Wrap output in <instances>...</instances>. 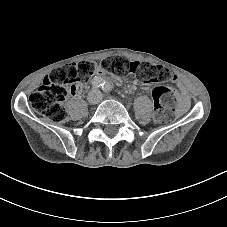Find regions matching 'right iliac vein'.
<instances>
[{"label": "right iliac vein", "instance_id": "1", "mask_svg": "<svg viewBox=\"0 0 227 227\" xmlns=\"http://www.w3.org/2000/svg\"><path fill=\"white\" fill-rule=\"evenodd\" d=\"M88 101L91 102V103H95V101L93 99V96L92 97H88Z\"/></svg>", "mask_w": 227, "mask_h": 227}]
</instances>
